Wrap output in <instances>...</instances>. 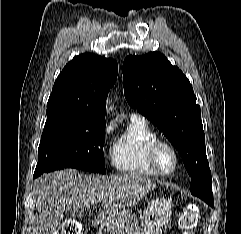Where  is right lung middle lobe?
Returning a JSON list of instances; mask_svg holds the SVG:
<instances>
[{
    "label": "right lung middle lobe",
    "instance_id": "dd1d6c3e",
    "mask_svg": "<svg viewBox=\"0 0 241 234\" xmlns=\"http://www.w3.org/2000/svg\"><path fill=\"white\" fill-rule=\"evenodd\" d=\"M104 141L105 124L82 121L70 110H47L34 174L64 168L104 174Z\"/></svg>",
    "mask_w": 241,
    "mask_h": 234
}]
</instances>
